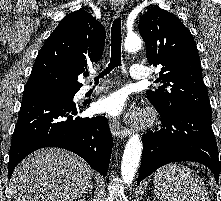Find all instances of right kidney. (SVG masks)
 Here are the masks:
<instances>
[{
	"mask_svg": "<svg viewBox=\"0 0 221 201\" xmlns=\"http://www.w3.org/2000/svg\"><path fill=\"white\" fill-rule=\"evenodd\" d=\"M78 201H86L85 199H79Z\"/></svg>",
	"mask_w": 221,
	"mask_h": 201,
	"instance_id": "right-kidney-1",
	"label": "right kidney"
}]
</instances>
